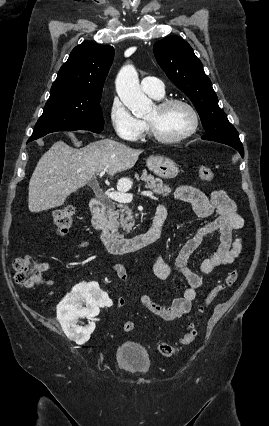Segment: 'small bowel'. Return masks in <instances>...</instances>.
<instances>
[{
	"label": "small bowel",
	"instance_id": "c3829d8e",
	"mask_svg": "<svg viewBox=\"0 0 269 426\" xmlns=\"http://www.w3.org/2000/svg\"><path fill=\"white\" fill-rule=\"evenodd\" d=\"M174 196L176 199L190 204L195 214L205 221L186 240L175 260V269L184 276L188 287L181 297L174 299L169 305L156 302L147 294H142L131 302L124 297L116 299V305L119 308H125L138 302L148 312L166 321L179 319L191 311L192 304L197 297V291L203 284V279L199 274L190 270L187 267V263L203 238L212 233H217L219 237L217 250L203 261L200 268L203 274H210L215 268L231 264L240 256L243 243L241 239L234 237L233 232L243 228L245 225L244 219L237 212L235 202L222 189L215 190L210 196H207L195 187L178 186L174 191ZM89 244L88 241H83L79 244V247L85 248ZM49 268L48 263L42 264L43 271H47ZM112 271L120 282L126 286L129 284V276L123 264H114ZM154 272L161 280L169 277L171 269L165 264L162 256L156 259ZM45 284L50 286L51 282L47 281Z\"/></svg>",
	"mask_w": 269,
	"mask_h": 426
}]
</instances>
